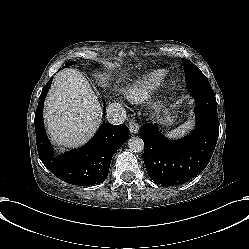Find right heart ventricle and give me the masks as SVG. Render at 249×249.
Segmentation results:
<instances>
[{
	"label": "right heart ventricle",
	"instance_id": "obj_1",
	"mask_svg": "<svg viewBox=\"0 0 249 249\" xmlns=\"http://www.w3.org/2000/svg\"><path fill=\"white\" fill-rule=\"evenodd\" d=\"M164 69H153L143 73L124 89V95L132 101L141 102L149 98L166 77Z\"/></svg>",
	"mask_w": 249,
	"mask_h": 249
}]
</instances>
